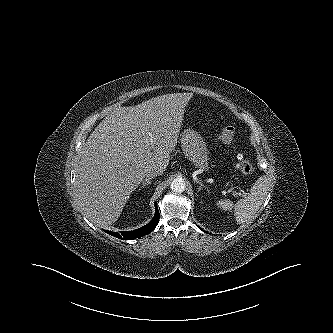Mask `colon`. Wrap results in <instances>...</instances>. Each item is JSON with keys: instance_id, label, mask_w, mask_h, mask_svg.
<instances>
[{"instance_id": "obj_1", "label": "colon", "mask_w": 333, "mask_h": 333, "mask_svg": "<svg viewBox=\"0 0 333 333\" xmlns=\"http://www.w3.org/2000/svg\"><path fill=\"white\" fill-rule=\"evenodd\" d=\"M236 137V129L232 126H226L221 133V139L224 144L232 145ZM239 172L245 176H251L255 172V165L242 156L237 158L236 163Z\"/></svg>"}]
</instances>
